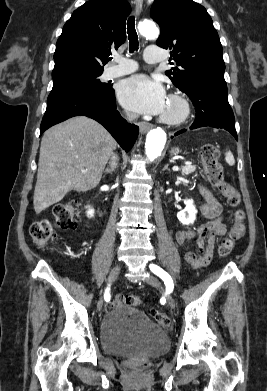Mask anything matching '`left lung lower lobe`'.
<instances>
[{
    "mask_svg": "<svg viewBox=\"0 0 267 391\" xmlns=\"http://www.w3.org/2000/svg\"><path fill=\"white\" fill-rule=\"evenodd\" d=\"M182 92L190 97L196 109V119L190 129L205 126L221 128L229 131L237 139L235 119L228 103L226 84L201 81L190 85ZM184 131L186 130L183 129L175 135Z\"/></svg>",
    "mask_w": 267,
    "mask_h": 391,
    "instance_id": "obj_1",
    "label": "left lung lower lobe"
}]
</instances>
